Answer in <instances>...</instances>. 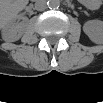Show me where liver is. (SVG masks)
<instances>
[{"label": "liver", "mask_w": 103, "mask_h": 103, "mask_svg": "<svg viewBox=\"0 0 103 103\" xmlns=\"http://www.w3.org/2000/svg\"><path fill=\"white\" fill-rule=\"evenodd\" d=\"M27 1L24 0H7L2 2L1 6V22L7 24L16 18L17 13L25 8Z\"/></svg>", "instance_id": "liver-1"}]
</instances>
